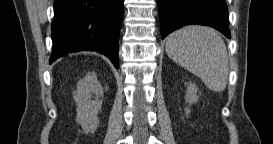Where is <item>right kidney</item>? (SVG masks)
Here are the masks:
<instances>
[{"label": "right kidney", "instance_id": "ca27d5eb", "mask_svg": "<svg viewBox=\"0 0 273 144\" xmlns=\"http://www.w3.org/2000/svg\"><path fill=\"white\" fill-rule=\"evenodd\" d=\"M100 84L95 74L88 75L77 84V91L74 92V100L77 105L76 121L82 126L85 133L94 132L99 126L98 109H94L88 102L89 92H99Z\"/></svg>", "mask_w": 273, "mask_h": 144}]
</instances>
